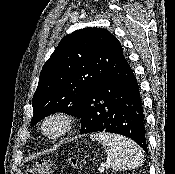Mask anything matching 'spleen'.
Wrapping results in <instances>:
<instances>
[{"label": "spleen", "instance_id": "obj_1", "mask_svg": "<svg viewBox=\"0 0 175 174\" xmlns=\"http://www.w3.org/2000/svg\"><path fill=\"white\" fill-rule=\"evenodd\" d=\"M90 137L101 142L113 170L135 169L143 165V154L134 141L106 132L93 133Z\"/></svg>", "mask_w": 175, "mask_h": 174}]
</instances>
